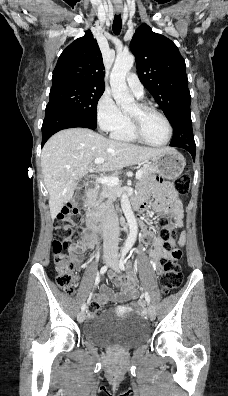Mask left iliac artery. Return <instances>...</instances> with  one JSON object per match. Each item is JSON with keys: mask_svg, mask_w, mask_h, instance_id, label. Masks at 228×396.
<instances>
[{"mask_svg": "<svg viewBox=\"0 0 228 396\" xmlns=\"http://www.w3.org/2000/svg\"><path fill=\"white\" fill-rule=\"evenodd\" d=\"M125 256H126V253H123L122 257L120 259V262H119V266L122 270H125V263H126ZM145 299H146L147 303L150 304V296L147 292H145Z\"/></svg>", "mask_w": 228, "mask_h": 396, "instance_id": "obj_1", "label": "left iliac artery"}]
</instances>
